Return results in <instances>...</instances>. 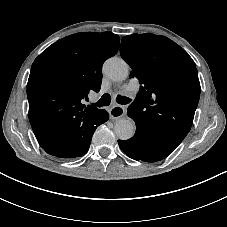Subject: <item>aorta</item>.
<instances>
[{"mask_svg":"<svg viewBox=\"0 0 227 227\" xmlns=\"http://www.w3.org/2000/svg\"><path fill=\"white\" fill-rule=\"evenodd\" d=\"M103 73L112 81H123L128 77V64L121 58L111 57L103 65ZM136 127L131 119H120L114 125V132L121 140L133 137Z\"/></svg>","mask_w":227,"mask_h":227,"instance_id":"1","label":"aorta"}]
</instances>
